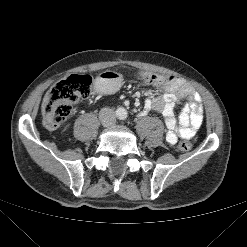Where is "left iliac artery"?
I'll list each match as a JSON object with an SVG mask.
<instances>
[{
  "instance_id": "left-iliac-artery-1",
  "label": "left iliac artery",
  "mask_w": 247,
  "mask_h": 247,
  "mask_svg": "<svg viewBox=\"0 0 247 247\" xmlns=\"http://www.w3.org/2000/svg\"><path fill=\"white\" fill-rule=\"evenodd\" d=\"M126 117H127V116H126V115H124V116L122 117V119L124 120V119H126Z\"/></svg>"
}]
</instances>
